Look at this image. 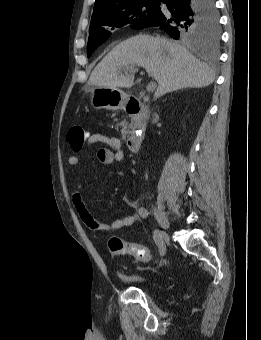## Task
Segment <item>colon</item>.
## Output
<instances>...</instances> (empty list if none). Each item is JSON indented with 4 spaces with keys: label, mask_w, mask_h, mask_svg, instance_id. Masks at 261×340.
<instances>
[{
    "label": "colon",
    "mask_w": 261,
    "mask_h": 340,
    "mask_svg": "<svg viewBox=\"0 0 261 340\" xmlns=\"http://www.w3.org/2000/svg\"><path fill=\"white\" fill-rule=\"evenodd\" d=\"M86 133L80 125H74L69 129L67 140L73 150H81L86 141ZM108 248L114 256L130 255L144 263H149L153 260V256L147 247L133 242H126L117 236L109 240Z\"/></svg>",
    "instance_id": "colon-1"
}]
</instances>
